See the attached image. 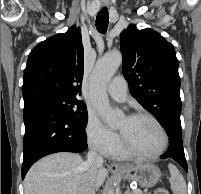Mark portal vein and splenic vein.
<instances>
[{
	"instance_id": "1",
	"label": "portal vein and splenic vein",
	"mask_w": 201,
	"mask_h": 194,
	"mask_svg": "<svg viewBox=\"0 0 201 194\" xmlns=\"http://www.w3.org/2000/svg\"><path fill=\"white\" fill-rule=\"evenodd\" d=\"M134 193L135 194H141V190L140 189H134Z\"/></svg>"
}]
</instances>
